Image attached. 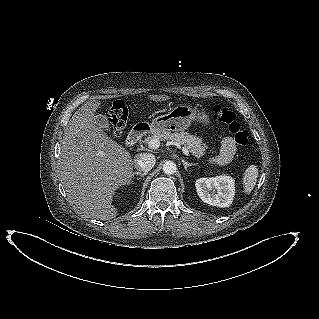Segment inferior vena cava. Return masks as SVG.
I'll return each mask as SVG.
<instances>
[{
	"label": "inferior vena cava",
	"instance_id": "obj_1",
	"mask_svg": "<svg viewBox=\"0 0 319 319\" xmlns=\"http://www.w3.org/2000/svg\"><path fill=\"white\" fill-rule=\"evenodd\" d=\"M155 162V156L150 153H141L135 157L136 169L146 173L154 167Z\"/></svg>",
	"mask_w": 319,
	"mask_h": 319
}]
</instances>
